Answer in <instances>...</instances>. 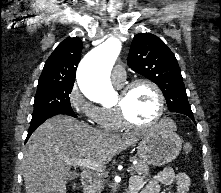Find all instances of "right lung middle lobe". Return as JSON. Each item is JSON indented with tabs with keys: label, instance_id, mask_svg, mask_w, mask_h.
Returning a JSON list of instances; mask_svg holds the SVG:
<instances>
[{
	"label": "right lung middle lobe",
	"instance_id": "dd1d6c3e",
	"mask_svg": "<svg viewBox=\"0 0 221 193\" xmlns=\"http://www.w3.org/2000/svg\"><path fill=\"white\" fill-rule=\"evenodd\" d=\"M72 89L73 84L38 86L32 119L51 112H73L69 97Z\"/></svg>",
	"mask_w": 221,
	"mask_h": 193
}]
</instances>
